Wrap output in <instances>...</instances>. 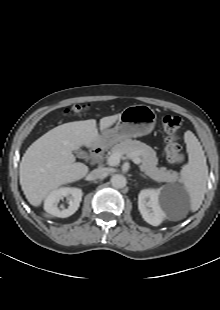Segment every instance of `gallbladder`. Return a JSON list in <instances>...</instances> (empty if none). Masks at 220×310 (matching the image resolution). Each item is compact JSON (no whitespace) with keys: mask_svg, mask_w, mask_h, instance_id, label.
Masks as SVG:
<instances>
[{"mask_svg":"<svg viewBox=\"0 0 220 310\" xmlns=\"http://www.w3.org/2000/svg\"><path fill=\"white\" fill-rule=\"evenodd\" d=\"M74 153L76 154V156L78 158H83L84 157V153L82 151H80V150H76V151H74Z\"/></svg>","mask_w":220,"mask_h":310,"instance_id":"obj_1","label":"gallbladder"}]
</instances>
